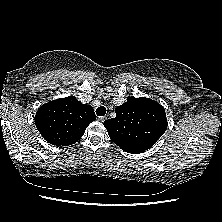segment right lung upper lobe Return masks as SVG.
<instances>
[{"label":"right lung upper lobe","mask_w":222,"mask_h":222,"mask_svg":"<svg viewBox=\"0 0 222 222\" xmlns=\"http://www.w3.org/2000/svg\"><path fill=\"white\" fill-rule=\"evenodd\" d=\"M95 118L90 105L69 96L42 105L36 113L35 124L48 143L68 146L82 137L86 127Z\"/></svg>","instance_id":"cb5924a9"}]
</instances>
